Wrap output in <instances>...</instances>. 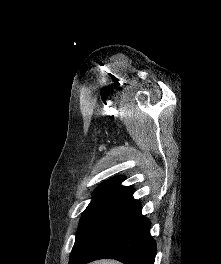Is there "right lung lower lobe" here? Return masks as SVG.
<instances>
[{
  "label": "right lung lower lobe",
  "instance_id": "1",
  "mask_svg": "<svg viewBox=\"0 0 221 264\" xmlns=\"http://www.w3.org/2000/svg\"><path fill=\"white\" fill-rule=\"evenodd\" d=\"M127 189L109 210L82 251L69 264L111 258L125 264H154L156 244L150 221L141 213V203Z\"/></svg>",
  "mask_w": 221,
  "mask_h": 264
}]
</instances>
